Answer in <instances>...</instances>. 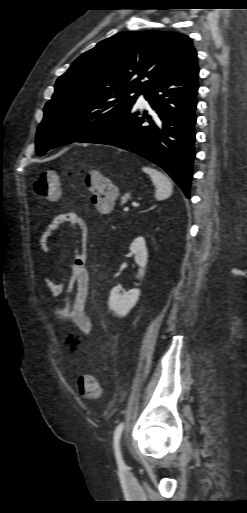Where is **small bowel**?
<instances>
[{
	"label": "small bowel",
	"instance_id": "c3829d8e",
	"mask_svg": "<svg viewBox=\"0 0 247 513\" xmlns=\"http://www.w3.org/2000/svg\"><path fill=\"white\" fill-rule=\"evenodd\" d=\"M65 224L73 226L79 234V246L70 265V279L68 283H65L45 278L44 283L48 294L54 298L63 297L69 290L73 293L71 300L66 301L63 299L61 305L50 308L56 319L70 320L78 329L80 336L85 338L91 336L93 329L91 318L86 310V298L90 285V275L86 268L87 224L75 212L58 214L50 221L47 229L42 233L39 244L43 251H50L52 238L58 234L61 227ZM48 306L50 305L48 304ZM70 337L80 350L85 349V345L79 340V337L73 334Z\"/></svg>",
	"mask_w": 247,
	"mask_h": 513
}]
</instances>
